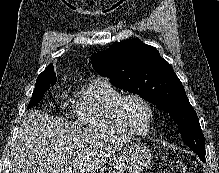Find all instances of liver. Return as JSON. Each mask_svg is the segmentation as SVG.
I'll return each mask as SVG.
<instances>
[{"label":"liver","mask_w":219,"mask_h":173,"mask_svg":"<svg viewBox=\"0 0 219 173\" xmlns=\"http://www.w3.org/2000/svg\"><path fill=\"white\" fill-rule=\"evenodd\" d=\"M122 146L120 138L31 110L24 114L12 148V172L95 173Z\"/></svg>","instance_id":"1"}]
</instances>
